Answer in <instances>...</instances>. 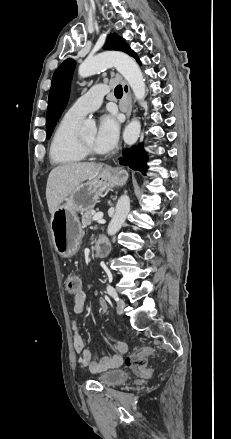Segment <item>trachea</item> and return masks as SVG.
Masks as SVG:
<instances>
[{
	"label": "trachea",
	"instance_id": "1",
	"mask_svg": "<svg viewBox=\"0 0 231 439\" xmlns=\"http://www.w3.org/2000/svg\"><path fill=\"white\" fill-rule=\"evenodd\" d=\"M114 94L116 98H121L123 95V89L121 85H118L114 89Z\"/></svg>",
	"mask_w": 231,
	"mask_h": 439
}]
</instances>
